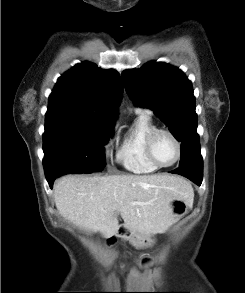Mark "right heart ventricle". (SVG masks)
<instances>
[{
  "label": "right heart ventricle",
  "instance_id": "e07e8e85",
  "mask_svg": "<svg viewBox=\"0 0 245 293\" xmlns=\"http://www.w3.org/2000/svg\"><path fill=\"white\" fill-rule=\"evenodd\" d=\"M157 129L150 114L137 112L132 126L126 132L122 146L118 152L117 159L122 166L137 174L153 173L158 170L146 155V141L149 134Z\"/></svg>",
  "mask_w": 245,
  "mask_h": 293
}]
</instances>
